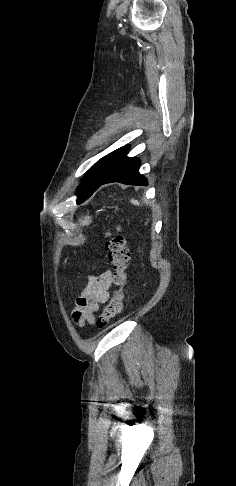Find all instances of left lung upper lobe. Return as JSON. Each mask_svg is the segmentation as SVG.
<instances>
[{"mask_svg": "<svg viewBox=\"0 0 236 486\" xmlns=\"http://www.w3.org/2000/svg\"><path fill=\"white\" fill-rule=\"evenodd\" d=\"M129 146L121 147L100 159L84 176L77 192V204L87 200L107 177L118 161L127 153Z\"/></svg>", "mask_w": 236, "mask_h": 486, "instance_id": "left-lung-upper-lobe-1", "label": "left lung upper lobe"}]
</instances>
